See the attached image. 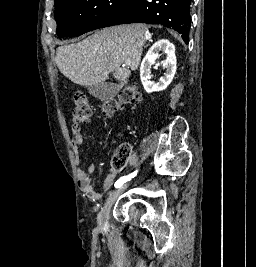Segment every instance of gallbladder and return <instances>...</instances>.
I'll list each match as a JSON object with an SVG mask.
<instances>
[{"label":"gallbladder","mask_w":256,"mask_h":267,"mask_svg":"<svg viewBox=\"0 0 256 267\" xmlns=\"http://www.w3.org/2000/svg\"><path fill=\"white\" fill-rule=\"evenodd\" d=\"M89 94H92L94 98L98 100H112L119 92L117 84H108V82H102V84H96V86H87Z\"/></svg>","instance_id":"gallbladder-1"}]
</instances>
